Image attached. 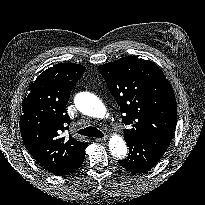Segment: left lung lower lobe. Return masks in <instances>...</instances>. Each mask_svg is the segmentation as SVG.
Listing matches in <instances>:
<instances>
[{
	"label": "left lung lower lobe",
	"mask_w": 205,
	"mask_h": 205,
	"mask_svg": "<svg viewBox=\"0 0 205 205\" xmlns=\"http://www.w3.org/2000/svg\"><path fill=\"white\" fill-rule=\"evenodd\" d=\"M172 136L157 135L144 138H125L129 155L119 164L128 172L141 174L154 167L165 153Z\"/></svg>",
	"instance_id": "0a47b994"
}]
</instances>
